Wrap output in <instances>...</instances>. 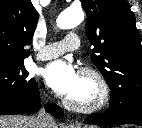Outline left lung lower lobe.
<instances>
[{"label":"left lung lower lobe","mask_w":142,"mask_h":128,"mask_svg":"<svg viewBox=\"0 0 142 128\" xmlns=\"http://www.w3.org/2000/svg\"><path fill=\"white\" fill-rule=\"evenodd\" d=\"M85 124L114 125L136 124L142 126V102L121 109H107L104 114H94L84 120Z\"/></svg>","instance_id":"0a47b994"}]
</instances>
